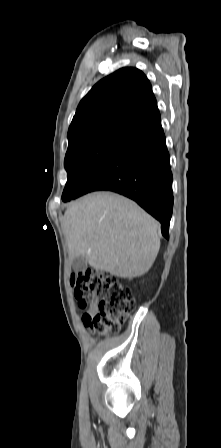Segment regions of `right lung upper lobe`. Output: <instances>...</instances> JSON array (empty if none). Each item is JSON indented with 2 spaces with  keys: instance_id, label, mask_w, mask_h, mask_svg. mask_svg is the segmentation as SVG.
<instances>
[{
  "instance_id": "right-lung-upper-lobe-1",
  "label": "right lung upper lobe",
  "mask_w": 221,
  "mask_h": 448,
  "mask_svg": "<svg viewBox=\"0 0 221 448\" xmlns=\"http://www.w3.org/2000/svg\"><path fill=\"white\" fill-rule=\"evenodd\" d=\"M159 114L147 77L122 68L103 78L81 100L68 130V150L101 141H118Z\"/></svg>"
}]
</instances>
